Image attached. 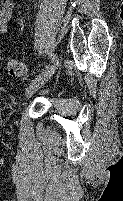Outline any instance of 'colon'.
I'll use <instances>...</instances> for the list:
<instances>
[{
  "mask_svg": "<svg viewBox=\"0 0 123 201\" xmlns=\"http://www.w3.org/2000/svg\"><path fill=\"white\" fill-rule=\"evenodd\" d=\"M5 71L7 74L11 76H20L25 72V67L22 62L11 59L5 63Z\"/></svg>",
  "mask_w": 123,
  "mask_h": 201,
  "instance_id": "obj_1",
  "label": "colon"
}]
</instances>
